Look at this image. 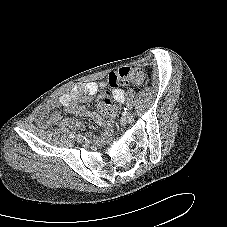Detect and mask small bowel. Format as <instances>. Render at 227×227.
Here are the masks:
<instances>
[{
  "instance_id": "obj_1",
  "label": "small bowel",
  "mask_w": 227,
  "mask_h": 227,
  "mask_svg": "<svg viewBox=\"0 0 227 227\" xmlns=\"http://www.w3.org/2000/svg\"><path fill=\"white\" fill-rule=\"evenodd\" d=\"M107 83L105 81L101 82H82L74 85L69 92L61 94L55 102L49 103L44 107L43 115L40 120L41 127H47L49 125L55 124L62 121L63 123L76 127L78 129H83L84 125L73 119L65 118L62 119L58 112H55V107L61 106L67 109L70 113L91 118L98 125L105 128H110L113 124V120L116 115V107L111 106L105 113H98L96 111L90 110L84 105H80L78 102L80 100L86 102L89 100L88 96L95 95L100 88H106ZM113 97L119 104H124V90L118 89L113 90Z\"/></svg>"
}]
</instances>
